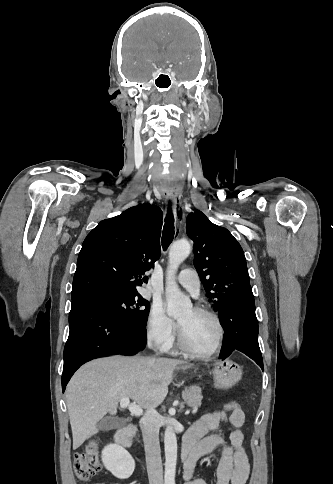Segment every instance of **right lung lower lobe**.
<instances>
[{"label": "right lung lower lobe", "mask_w": 333, "mask_h": 484, "mask_svg": "<svg viewBox=\"0 0 333 484\" xmlns=\"http://www.w3.org/2000/svg\"><path fill=\"white\" fill-rule=\"evenodd\" d=\"M69 337L64 348L62 390L83 363L97 357L134 355L146 345V330H136L91 295L72 298Z\"/></svg>", "instance_id": "right-lung-lower-lobe-1"}]
</instances>
